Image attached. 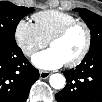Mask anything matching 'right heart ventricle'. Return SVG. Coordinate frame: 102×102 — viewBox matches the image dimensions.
I'll list each match as a JSON object with an SVG mask.
<instances>
[{"mask_svg": "<svg viewBox=\"0 0 102 102\" xmlns=\"http://www.w3.org/2000/svg\"><path fill=\"white\" fill-rule=\"evenodd\" d=\"M34 25L40 35L48 42L53 35L77 18L67 12L46 10L33 15Z\"/></svg>", "mask_w": 102, "mask_h": 102, "instance_id": "1", "label": "right heart ventricle"}]
</instances>
